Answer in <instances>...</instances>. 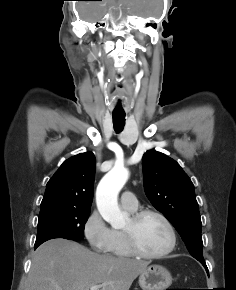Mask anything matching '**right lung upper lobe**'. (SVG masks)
Returning a JSON list of instances; mask_svg holds the SVG:
<instances>
[{
  "instance_id": "obj_1",
  "label": "right lung upper lobe",
  "mask_w": 236,
  "mask_h": 290,
  "mask_svg": "<svg viewBox=\"0 0 236 290\" xmlns=\"http://www.w3.org/2000/svg\"><path fill=\"white\" fill-rule=\"evenodd\" d=\"M95 162L92 152L67 159L47 183L41 210L90 209L93 201Z\"/></svg>"
}]
</instances>
